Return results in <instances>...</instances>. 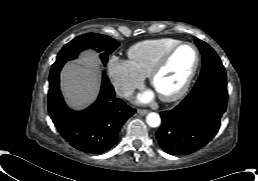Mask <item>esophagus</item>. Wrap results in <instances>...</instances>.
<instances>
[{
	"label": "esophagus",
	"instance_id": "esophagus-1",
	"mask_svg": "<svg viewBox=\"0 0 258 181\" xmlns=\"http://www.w3.org/2000/svg\"><path fill=\"white\" fill-rule=\"evenodd\" d=\"M137 112H138V114H140V115H146L149 111L146 110V109H138Z\"/></svg>",
	"mask_w": 258,
	"mask_h": 181
}]
</instances>
